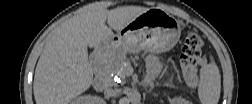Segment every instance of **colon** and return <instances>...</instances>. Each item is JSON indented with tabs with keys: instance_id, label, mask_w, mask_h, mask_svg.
Segmentation results:
<instances>
[{
	"instance_id": "obj_1",
	"label": "colon",
	"mask_w": 252,
	"mask_h": 104,
	"mask_svg": "<svg viewBox=\"0 0 252 104\" xmlns=\"http://www.w3.org/2000/svg\"><path fill=\"white\" fill-rule=\"evenodd\" d=\"M203 41L194 29H187L184 35L181 66L184 78L188 85L195 87L198 84L199 63H205L206 59L201 56Z\"/></svg>"
}]
</instances>
